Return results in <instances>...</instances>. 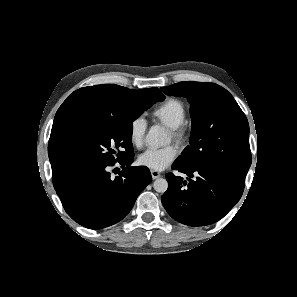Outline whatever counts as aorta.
I'll list each match as a JSON object with an SVG mask.
<instances>
[{
    "instance_id": "aorta-1",
    "label": "aorta",
    "mask_w": 297,
    "mask_h": 297,
    "mask_svg": "<svg viewBox=\"0 0 297 297\" xmlns=\"http://www.w3.org/2000/svg\"><path fill=\"white\" fill-rule=\"evenodd\" d=\"M166 134L159 126H152L146 135V142L150 147H159L165 143ZM154 190L159 193L166 192L168 188V182L164 178H158L153 183Z\"/></svg>"
}]
</instances>
